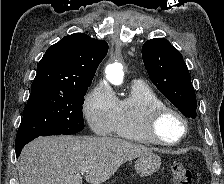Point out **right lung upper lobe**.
<instances>
[{
  "label": "right lung upper lobe",
  "mask_w": 224,
  "mask_h": 184,
  "mask_svg": "<svg viewBox=\"0 0 224 184\" xmlns=\"http://www.w3.org/2000/svg\"><path fill=\"white\" fill-rule=\"evenodd\" d=\"M107 51L108 44L104 40L84 33L65 36L50 46L38 63L31 89L90 86Z\"/></svg>",
  "instance_id": "right-lung-upper-lobe-1"
}]
</instances>
